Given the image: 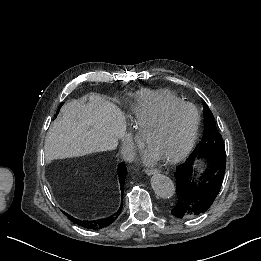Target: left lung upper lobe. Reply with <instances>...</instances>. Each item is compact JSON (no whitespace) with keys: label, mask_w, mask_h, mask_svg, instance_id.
I'll return each mask as SVG.
<instances>
[{"label":"left lung upper lobe","mask_w":261,"mask_h":261,"mask_svg":"<svg viewBox=\"0 0 261 261\" xmlns=\"http://www.w3.org/2000/svg\"><path fill=\"white\" fill-rule=\"evenodd\" d=\"M203 114L205 120L203 138L200 141V143L196 146L195 152L202 153L209 151L222 155L225 154V146L223 143V139L220 133H218L217 131L212 112L208 107H204Z\"/></svg>","instance_id":"left-lung-upper-lobe-1"}]
</instances>
